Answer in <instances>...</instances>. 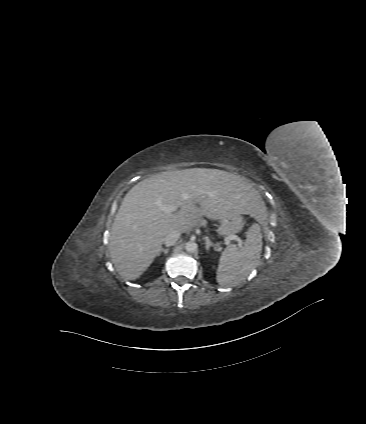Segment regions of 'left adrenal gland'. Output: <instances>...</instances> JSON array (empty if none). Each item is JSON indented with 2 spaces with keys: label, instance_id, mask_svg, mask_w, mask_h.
Here are the masks:
<instances>
[{
  "label": "left adrenal gland",
  "instance_id": "obj_1",
  "mask_svg": "<svg viewBox=\"0 0 366 424\" xmlns=\"http://www.w3.org/2000/svg\"><path fill=\"white\" fill-rule=\"evenodd\" d=\"M204 239L206 241V250H207V252L210 250L211 247H213L214 250H217L216 247H215V245L210 241V239L208 237H205Z\"/></svg>",
  "mask_w": 366,
  "mask_h": 424
}]
</instances>
